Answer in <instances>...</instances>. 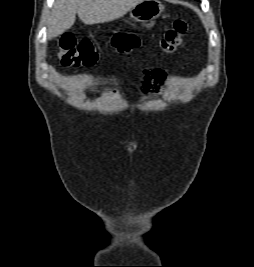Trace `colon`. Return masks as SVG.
I'll list each match as a JSON object with an SVG mask.
<instances>
[{
    "mask_svg": "<svg viewBox=\"0 0 254 267\" xmlns=\"http://www.w3.org/2000/svg\"><path fill=\"white\" fill-rule=\"evenodd\" d=\"M187 24L183 20L174 22L160 41V48L166 53L180 49L184 43V34ZM119 52H129L140 46L138 37L127 33L116 34L111 41ZM58 55L62 65L67 67L90 66L97 62L98 52L95 45L89 40L78 41L74 34L65 33L58 43Z\"/></svg>",
    "mask_w": 254,
    "mask_h": 267,
    "instance_id": "obj_1",
    "label": "colon"
}]
</instances>
